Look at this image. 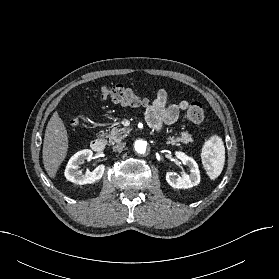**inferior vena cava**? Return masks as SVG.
Here are the masks:
<instances>
[{"label": "inferior vena cava", "instance_id": "1", "mask_svg": "<svg viewBox=\"0 0 279 279\" xmlns=\"http://www.w3.org/2000/svg\"><path fill=\"white\" fill-rule=\"evenodd\" d=\"M124 147H125V143H123V142L118 143L113 147V151L120 153L123 151Z\"/></svg>", "mask_w": 279, "mask_h": 279}]
</instances>
